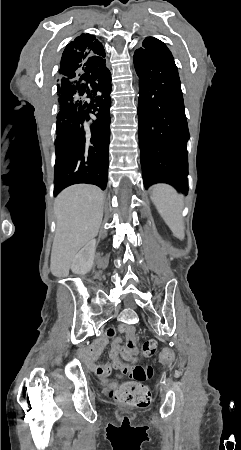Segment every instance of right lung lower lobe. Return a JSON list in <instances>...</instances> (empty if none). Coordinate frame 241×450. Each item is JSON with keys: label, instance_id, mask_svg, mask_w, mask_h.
Instances as JSON below:
<instances>
[{"label": "right lung lower lobe", "instance_id": "right-lung-lower-lobe-1", "mask_svg": "<svg viewBox=\"0 0 241 450\" xmlns=\"http://www.w3.org/2000/svg\"><path fill=\"white\" fill-rule=\"evenodd\" d=\"M57 89L54 196L77 183L94 184L104 190L108 176L112 89L106 61L60 77ZM82 96L89 100H81Z\"/></svg>", "mask_w": 241, "mask_h": 450}]
</instances>
